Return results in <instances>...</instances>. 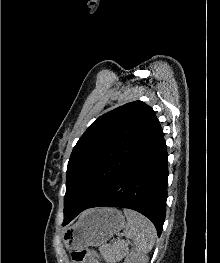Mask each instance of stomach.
<instances>
[{
	"label": "stomach",
	"instance_id": "0dacf381",
	"mask_svg": "<svg viewBox=\"0 0 220 263\" xmlns=\"http://www.w3.org/2000/svg\"><path fill=\"white\" fill-rule=\"evenodd\" d=\"M124 227L125 218L119 210L91 209L83 213L78 221L63 233L62 240L67 250L101 246Z\"/></svg>",
	"mask_w": 220,
	"mask_h": 263
}]
</instances>
